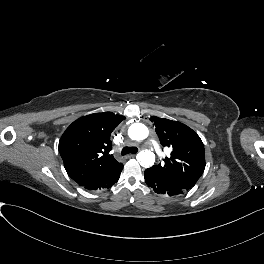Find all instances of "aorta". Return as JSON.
Listing matches in <instances>:
<instances>
[{
	"mask_svg": "<svg viewBox=\"0 0 264 264\" xmlns=\"http://www.w3.org/2000/svg\"><path fill=\"white\" fill-rule=\"evenodd\" d=\"M129 136L136 141H143L145 140L148 135H149V131L148 128L142 124V123H134L129 127L128 130ZM140 164L143 167H150L154 164L155 162V158L153 155H151L150 153H141L140 158H139Z\"/></svg>",
	"mask_w": 264,
	"mask_h": 264,
	"instance_id": "762f6f07",
	"label": "aorta"
}]
</instances>
